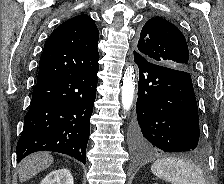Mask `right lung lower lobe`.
Masks as SVG:
<instances>
[{
	"label": "right lung lower lobe",
	"mask_w": 224,
	"mask_h": 184,
	"mask_svg": "<svg viewBox=\"0 0 224 184\" xmlns=\"http://www.w3.org/2000/svg\"><path fill=\"white\" fill-rule=\"evenodd\" d=\"M98 70L99 65L37 82L17 143L18 162L36 151H53L86 163Z\"/></svg>",
	"instance_id": "right-lung-lower-lobe-1"
}]
</instances>
